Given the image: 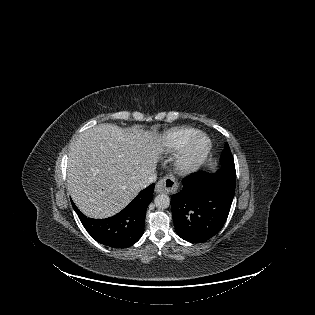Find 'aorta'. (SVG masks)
Masks as SVG:
<instances>
[{"mask_svg":"<svg viewBox=\"0 0 315 315\" xmlns=\"http://www.w3.org/2000/svg\"><path fill=\"white\" fill-rule=\"evenodd\" d=\"M154 202L158 209H166L170 205V198L166 194H159L155 197Z\"/></svg>","mask_w":315,"mask_h":315,"instance_id":"aorta-1","label":"aorta"}]
</instances>
